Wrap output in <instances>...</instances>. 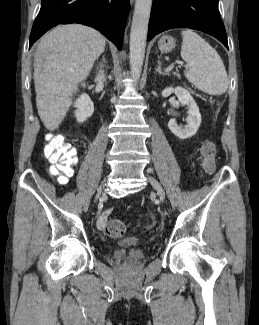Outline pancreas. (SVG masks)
<instances>
[{"label": "pancreas", "instance_id": "pancreas-1", "mask_svg": "<svg viewBox=\"0 0 259 325\" xmlns=\"http://www.w3.org/2000/svg\"><path fill=\"white\" fill-rule=\"evenodd\" d=\"M174 75H176L178 78L181 77L180 74H178V73H174Z\"/></svg>", "mask_w": 259, "mask_h": 325}]
</instances>
